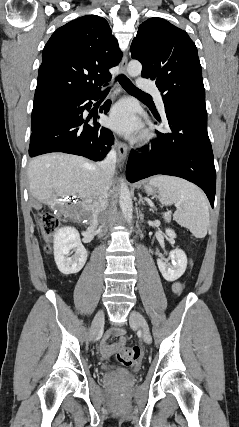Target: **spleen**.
Masks as SVG:
<instances>
[{"label": "spleen", "mask_w": 239, "mask_h": 427, "mask_svg": "<svg viewBox=\"0 0 239 427\" xmlns=\"http://www.w3.org/2000/svg\"><path fill=\"white\" fill-rule=\"evenodd\" d=\"M149 183L159 189L162 206L176 205L175 221L196 238H204L209 226V204L205 194L181 178L157 175Z\"/></svg>", "instance_id": "spleen-1"}]
</instances>
